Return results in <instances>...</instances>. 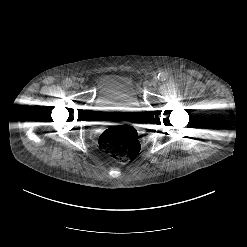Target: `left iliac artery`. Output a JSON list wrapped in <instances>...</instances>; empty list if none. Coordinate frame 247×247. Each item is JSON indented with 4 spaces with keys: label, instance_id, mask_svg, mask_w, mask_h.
<instances>
[{
    "label": "left iliac artery",
    "instance_id": "left-iliac-artery-1",
    "mask_svg": "<svg viewBox=\"0 0 247 247\" xmlns=\"http://www.w3.org/2000/svg\"><path fill=\"white\" fill-rule=\"evenodd\" d=\"M160 81H165L168 78V74L166 72H160L157 76Z\"/></svg>",
    "mask_w": 247,
    "mask_h": 247
}]
</instances>
